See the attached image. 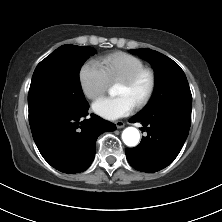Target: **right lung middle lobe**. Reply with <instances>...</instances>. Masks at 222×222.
<instances>
[{"mask_svg":"<svg viewBox=\"0 0 222 222\" xmlns=\"http://www.w3.org/2000/svg\"><path fill=\"white\" fill-rule=\"evenodd\" d=\"M96 50L63 45L36 67L28 94L29 115L44 110L69 111L88 105L79 83V71Z\"/></svg>","mask_w":222,"mask_h":222,"instance_id":"right-lung-middle-lobe-1","label":"right lung middle lobe"}]
</instances>
